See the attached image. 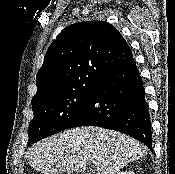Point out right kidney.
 I'll use <instances>...</instances> for the list:
<instances>
[{
	"mask_svg": "<svg viewBox=\"0 0 175 174\" xmlns=\"http://www.w3.org/2000/svg\"><path fill=\"white\" fill-rule=\"evenodd\" d=\"M117 174H134L133 171H121V172H118Z\"/></svg>",
	"mask_w": 175,
	"mask_h": 174,
	"instance_id": "ca27d5eb",
	"label": "right kidney"
}]
</instances>
